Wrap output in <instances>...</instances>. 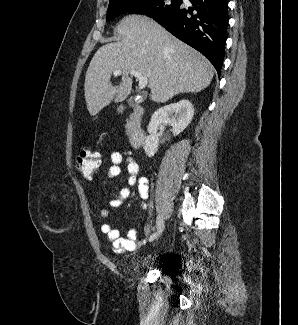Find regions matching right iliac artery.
Listing matches in <instances>:
<instances>
[{
    "mask_svg": "<svg viewBox=\"0 0 298 325\" xmlns=\"http://www.w3.org/2000/svg\"><path fill=\"white\" fill-rule=\"evenodd\" d=\"M155 238H156V233L152 234V235L149 237V241H153Z\"/></svg>",
    "mask_w": 298,
    "mask_h": 325,
    "instance_id": "obj_1",
    "label": "right iliac artery"
}]
</instances>
